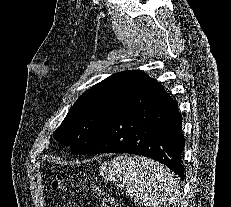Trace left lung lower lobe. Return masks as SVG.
<instances>
[{
    "label": "left lung lower lobe",
    "mask_w": 231,
    "mask_h": 207,
    "mask_svg": "<svg viewBox=\"0 0 231 207\" xmlns=\"http://www.w3.org/2000/svg\"><path fill=\"white\" fill-rule=\"evenodd\" d=\"M178 105L149 78L105 124L83 154L131 153L155 159L184 179V136Z\"/></svg>",
    "instance_id": "1"
}]
</instances>
